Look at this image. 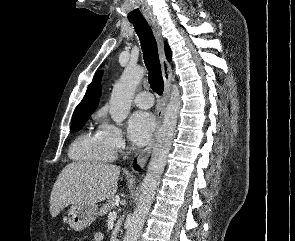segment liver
<instances>
[{
    "label": "liver",
    "mask_w": 295,
    "mask_h": 241,
    "mask_svg": "<svg viewBox=\"0 0 295 241\" xmlns=\"http://www.w3.org/2000/svg\"><path fill=\"white\" fill-rule=\"evenodd\" d=\"M120 167L113 164L73 162L60 172L50 196V213L56 217L72 204L94 205L117 192Z\"/></svg>",
    "instance_id": "1"
}]
</instances>
